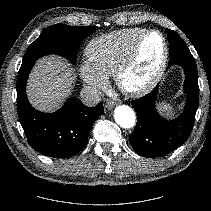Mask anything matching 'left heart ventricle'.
I'll return each instance as SVG.
<instances>
[{
  "instance_id": "obj_1",
  "label": "left heart ventricle",
  "mask_w": 211,
  "mask_h": 211,
  "mask_svg": "<svg viewBox=\"0 0 211 211\" xmlns=\"http://www.w3.org/2000/svg\"><path fill=\"white\" fill-rule=\"evenodd\" d=\"M163 53V45L158 34L148 35L140 49L136 65L125 78L129 87H138L147 82L157 70Z\"/></svg>"
}]
</instances>
